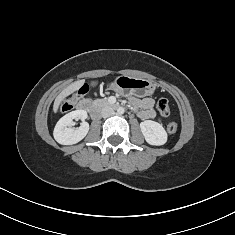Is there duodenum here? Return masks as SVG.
<instances>
[{
    "instance_id": "obj_1",
    "label": "duodenum",
    "mask_w": 235,
    "mask_h": 235,
    "mask_svg": "<svg viewBox=\"0 0 235 235\" xmlns=\"http://www.w3.org/2000/svg\"><path fill=\"white\" fill-rule=\"evenodd\" d=\"M78 109L81 111H86L89 112L91 115L96 116L97 115V110L93 106L92 102L90 100H82L78 104Z\"/></svg>"
}]
</instances>
